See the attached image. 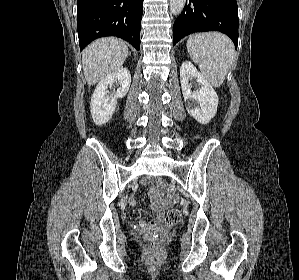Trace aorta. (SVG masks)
<instances>
[{
  "label": "aorta",
  "mask_w": 299,
  "mask_h": 280,
  "mask_svg": "<svg viewBox=\"0 0 299 280\" xmlns=\"http://www.w3.org/2000/svg\"><path fill=\"white\" fill-rule=\"evenodd\" d=\"M185 3L186 0H169L171 13L174 15H179L185 6Z\"/></svg>",
  "instance_id": "762f6f07"
}]
</instances>
